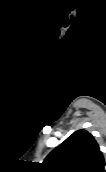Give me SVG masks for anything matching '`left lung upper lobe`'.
<instances>
[{
	"instance_id": "left-lung-upper-lobe-1",
	"label": "left lung upper lobe",
	"mask_w": 106,
	"mask_h": 172,
	"mask_svg": "<svg viewBox=\"0 0 106 172\" xmlns=\"http://www.w3.org/2000/svg\"><path fill=\"white\" fill-rule=\"evenodd\" d=\"M42 165L46 172H105L104 157L97 142L83 129L50 152Z\"/></svg>"
}]
</instances>
